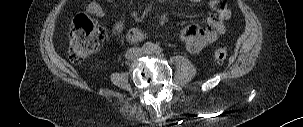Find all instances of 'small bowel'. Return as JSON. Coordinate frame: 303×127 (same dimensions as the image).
<instances>
[{
    "label": "small bowel",
    "mask_w": 303,
    "mask_h": 127,
    "mask_svg": "<svg viewBox=\"0 0 303 127\" xmlns=\"http://www.w3.org/2000/svg\"><path fill=\"white\" fill-rule=\"evenodd\" d=\"M105 1L110 2L112 0ZM210 4L214 12L207 16V28L188 24L182 30V37L190 53L200 52L207 44L215 41L224 32V20L230 16V11L221 6L219 0H211ZM87 11L98 18L104 17V9L98 1H91L87 6ZM135 18H138L137 15H135ZM124 28V22L118 21L113 25L112 31L115 34H120ZM143 38L144 32L139 27H132L127 31V39L130 42H140Z\"/></svg>",
    "instance_id": "obj_1"
}]
</instances>
